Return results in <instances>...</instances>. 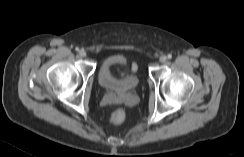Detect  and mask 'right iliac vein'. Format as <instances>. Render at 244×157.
<instances>
[{
    "instance_id": "1",
    "label": "right iliac vein",
    "mask_w": 244,
    "mask_h": 157,
    "mask_svg": "<svg viewBox=\"0 0 244 157\" xmlns=\"http://www.w3.org/2000/svg\"><path fill=\"white\" fill-rule=\"evenodd\" d=\"M79 55L81 56V57H85L86 56V52H85V50H80L79 51Z\"/></svg>"
}]
</instances>
